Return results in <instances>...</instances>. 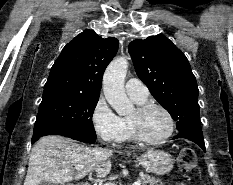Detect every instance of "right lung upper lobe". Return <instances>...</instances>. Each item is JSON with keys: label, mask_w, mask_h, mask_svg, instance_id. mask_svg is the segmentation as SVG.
<instances>
[{"label": "right lung upper lobe", "mask_w": 233, "mask_h": 185, "mask_svg": "<svg viewBox=\"0 0 233 185\" xmlns=\"http://www.w3.org/2000/svg\"><path fill=\"white\" fill-rule=\"evenodd\" d=\"M118 50L116 38L86 30L62 50L50 70L44 92L64 91L99 96L103 73Z\"/></svg>", "instance_id": "cb5924a9"}]
</instances>
